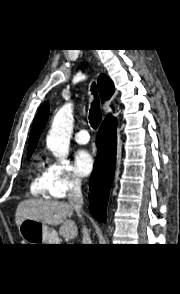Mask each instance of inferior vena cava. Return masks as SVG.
<instances>
[{
    "instance_id": "inferior-vena-cava-1",
    "label": "inferior vena cava",
    "mask_w": 180,
    "mask_h": 294,
    "mask_svg": "<svg viewBox=\"0 0 180 294\" xmlns=\"http://www.w3.org/2000/svg\"><path fill=\"white\" fill-rule=\"evenodd\" d=\"M68 201L71 207H73L78 215V217L82 218V205H83V196L81 192V181L79 179H74L70 183L69 191H68ZM82 244H92L89 230L84 226L82 229Z\"/></svg>"
}]
</instances>
